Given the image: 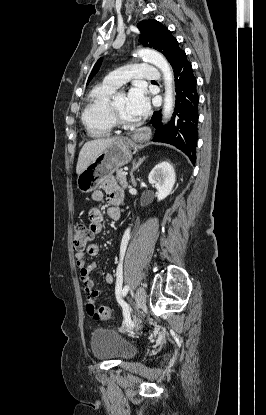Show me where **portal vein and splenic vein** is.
I'll return each mask as SVG.
<instances>
[{
    "instance_id": "obj_1",
    "label": "portal vein and splenic vein",
    "mask_w": 266,
    "mask_h": 415,
    "mask_svg": "<svg viewBox=\"0 0 266 415\" xmlns=\"http://www.w3.org/2000/svg\"><path fill=\"white\" fill-rule=\"evenodd\" d=\"M123 174H124V175H127L128 173L125 171V172H123Z\"/></svg>"
}]
</instances>
